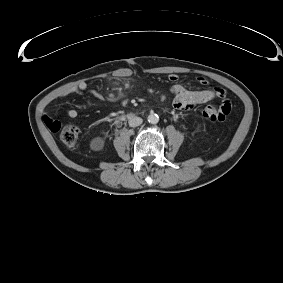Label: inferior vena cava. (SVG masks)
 I'll list each match as a JSON object with an SVG mask.
<instances>
[{
	"instance_id": "inferior-vena-cava-1",
	"label": "inferior vena cava",
	"mask_w": 283,
	"mask_h": 283,
	"mask_svg": "<svg viewBox=\"0 0 283 283\" xmlns=\"http://www.w3.org/2000/svg\"><path fill=\"white\" fill-rule=\"evenodd\" d=\"M142 122H143L142 118L134 116V117H131L129 119L128 123H129L130 127H137V126L141 125Z\"/></svg>"
}]
</instances>
